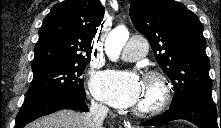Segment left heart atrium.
<instances>
[{"mask_svg": "<svg viewBox=\"0 0 221 128\" xmlns=\"http://www.w3.org/2000/svg\"><path fill=\"white\" fill-rule=\"evenodd\" d=\"M143 83L135 71L103 72L93 79V89L103 101L127 108L134 106L142 92Z\"/></svg>", "mask_w": 221, "mask_h": 128, "instance_id": "left-heart-atrium-1", "label": "left heart atrium"}]
</instances>
